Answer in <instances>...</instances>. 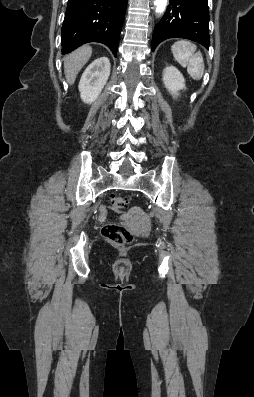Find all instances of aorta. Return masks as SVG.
Returning <instances> with one entry per match:
<instances>
[{
    "label": "aorta",
    "instance_id": "762f6f07",
    "mask_svg": "<svg viewBox=\"0 0 254 397\" xmlns=\"http://www.w3.org/2000/svg\"><path fill=\"white\" fill-rule=\"evenodd\" d=\"M168 0H155L154 4L156 6V13H163L166 9Z\"/></svg>",
    "mask_w": 254,
    "mask_h": 397
}]
</instances>
